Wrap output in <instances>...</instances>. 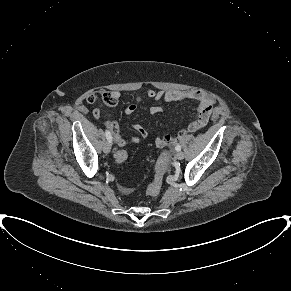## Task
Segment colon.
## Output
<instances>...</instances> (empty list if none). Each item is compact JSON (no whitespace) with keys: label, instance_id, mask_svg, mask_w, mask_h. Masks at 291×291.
<instances>
[{"label":"colon","instance_id":"1","mask_svg":"<svg viewBox=\"0 0 291 291\" xmlns=\"http://www.w3.org/2000/svg\"><path fill=\"white\" fill-rule=\"evenodd\" d=\"M102 100L104 104L109 107H112L117 103V97L115 96L114 92L104 93ZM169 156V149L164 148L161 151L160 156L156 162L154 178L146 190V194L148 196H156L160 193L162 188L163 176L168 168ZM113 158L116 163H123L128 158V152L125 149H115L113 151Z\"/></svg>","mask_w":291,"mask_h":291}]
</instances>
